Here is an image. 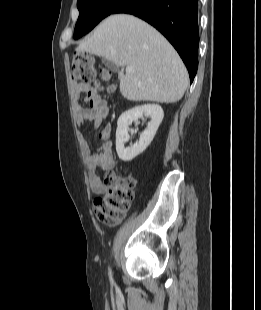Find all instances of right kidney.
I'll use <instances>...</instances> for the list:
<instances>
[{
	"label": "right kidney",
	"mask_w": 261,
	"mask_h": 310,
	"mask_svg": "<svg viewBox=\"0 0 261 310\" xmlns=\"http://www.w3.org/2000/svg\"><path fill=\"white\" fill-rule=\"evenodd\" d=\"M143 116L150 118L147 129L140 135L137 143L131 147H125V143L129 138L128 132L136 133V130H130L129 126L132 122L143 118ZM163 116V109L157 104L137 106L122 113L118 119L116 130V151L118 157L122 161L128 162L141 154L153 140Z\"/></svg>",
	"instance_id": "1"
}]
</instances>
